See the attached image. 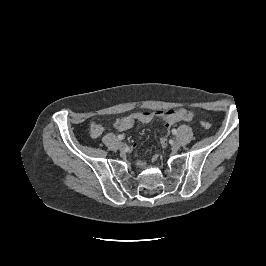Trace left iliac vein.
Returning <instances> with one entry per match:
<instances>
[{
	"instance_id": "left-iliac-vein-1",
	"label": "left iliac vein",
	"mask_w": 266,
	"mask_h": 266,
	"mask_svg": "<svg viewBox=\"0 0 266 266\" xmlns=\"http://www.w3.org/2000/svg\"><path fill=\"white\" fill-rule=\"evenodd\" d=\"M172 149H173L174 151H178V150L180 149V143H179V141H174V142L172 143Z\"/></svg>"
}]
</instances>
